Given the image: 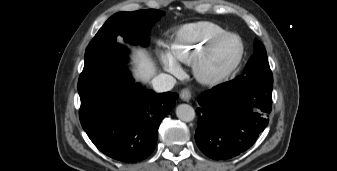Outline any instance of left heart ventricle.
<instances>
[{
	"label": "left heart ventricle",
	"instance_id": "obj_1",
	"mask_svg": "<svg viewBox=\"0 0 337 171\" xmlns=\"http://www.w3.org/2000/svg\"><path fill=\"white\" fill-rule=\"evenodd\" d=\"M239 45L236 39H228L219 44L210 54L206 70L211 74H220L226 70L237 58Z\"/></svg>",
	"mask_w": 337,
	"mask_h": 171
}]
</instances>
